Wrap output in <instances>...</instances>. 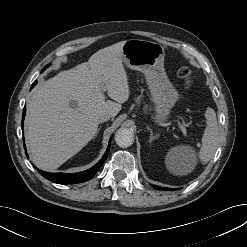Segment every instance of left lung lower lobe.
I'll use <instances>...</instances> for the list:
<instances>
[{
    "instance_id": "obj_1",
    "label": "left lung lower lobe",
    "mask_w": 247,
    "mask_h": 247,
    "mask_svg": "<svg viewBox=\"0 0 247 247\" xmlns=\"http://www.w3.org/2000/svg\"><path fill=\"white\" fill-rule=\"evenodd\" d=\"M156 189H160V190H175V189H169V188H165V187H159V186H153Z\"/></svg>"
}]
</instances>
